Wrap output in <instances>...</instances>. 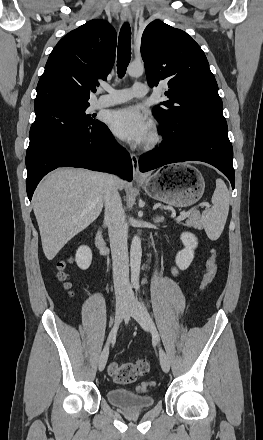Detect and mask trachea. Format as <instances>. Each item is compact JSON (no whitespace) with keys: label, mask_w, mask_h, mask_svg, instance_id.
<instances>
[{"label":"trachea","mask_w":263,"mask_h":440,"mask_svg":"<svg viewBox=\"0 0 263 440\" xmlns=\"http://www.w3.org/2000/svg\"><path fill=\"white\" fill-rule=\"evenodd\" d=\"M131 59V28L126 22L123 24L118 40L117 73L123 77Z\"/></svg>","instance_id":"trachea-1"}]
</instances>
